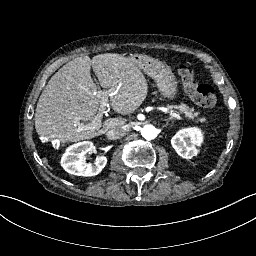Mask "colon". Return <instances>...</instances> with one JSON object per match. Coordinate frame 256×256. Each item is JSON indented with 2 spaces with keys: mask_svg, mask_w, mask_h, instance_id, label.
Wrapping results in <instances>:
<instances>
[{
  "mask_svg": "<svg viewBox=\"0 0 256 256\" xmlns=\"http://www.w3.org/2000/svg\"><path fill=\"white\" fill-rule=\"evenodd\" d=\"M180 80L183 91L188 94L191 99L203 108H212L216 102L215 89L209 84L196 83L197 75L195 71L186 65L179 69Z\"/></svg>",
  "mask_w": 256,
  "mask_h": 256,
  "instance_id": "5ec220e1",
  "label": "colon"
}]
</instances>
